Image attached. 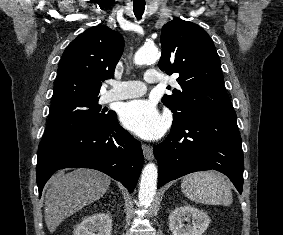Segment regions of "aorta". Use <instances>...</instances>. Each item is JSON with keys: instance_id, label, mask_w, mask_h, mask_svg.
<instances>
[{"instance_id": "1", "label": "aorta", "mask_w": 283, "mask_h": 235, "mask_svg": "<svg viewBox=\"0 0 283 235\" xmlns=\"http://www.w3.org/2000/svg\"><path fill=\"white\" fill-rule=\"evenodd\" d=\"M160 57L159 49L154 46H143L135 56L134 63L136 65H144L156 61ZM158 171L154 163H148L141 174L140 189H139V204L144 207L150 206L157 189Z\"/></svg>"}]
</instances>
